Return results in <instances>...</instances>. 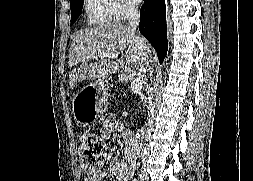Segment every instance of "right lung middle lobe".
Here are the masks:
<instances>
[{
	"label": "right lung middle lobe",
	"instance_id": "1",
	"mask_svg": "<svg viewBox=\"0 0 253 181\" xmlns=\"http://www.w3.org/2000/svg\"><path fill=\"white\" fill-rule=\"evenodd\" d=\"M82 12V0H71V24H73Z\"/></svg>",
	"mask_w": 253,
	"mask_h": 181
}]
</instances>
